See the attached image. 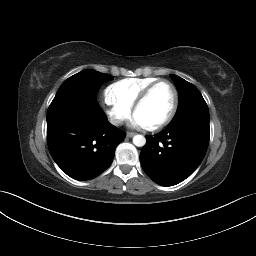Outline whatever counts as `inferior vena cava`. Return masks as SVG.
<instances>
[{"label": "inferior vena cava", "mask_w": 256, "mask_h": 256, "mask_svg": "<svg viewBox=\"0 0 256 256\" xmlns=\"http://www.w3.org/2000/svg\"><path fill=\"white\" fill-rule=\"evenodd\" d=\"M111 123L115 126H118L120 124H122V120L121 119H115V118H112L111 119Z\"/></svg>", "instance_id": "inferior-vena-cava-1"}]
</instances>
